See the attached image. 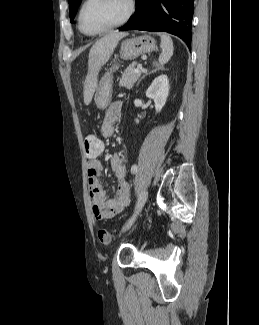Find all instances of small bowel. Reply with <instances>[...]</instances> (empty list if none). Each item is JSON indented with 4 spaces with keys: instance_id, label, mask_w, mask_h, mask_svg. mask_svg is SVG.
<instances>
[{
    "instance_id": "c3829d8e",
    "label": "small bowel",
    "mask_w": 259,
    "mask_h": 325,
    "mask_svg": "<svg viewBox=\"0 0 259 325\" xmlns=\"http://www.w3.org/2000/svg\"><path fill=\"white\" fill-rule=\"evenodd\" d=\"M122 105L121 101H114L105 112L101 125V135L103 137L108 138L114 134L115 123L120 119ZM103 151L104 148L103 150H96L94 153H86L88 159L87 182L89 198L92 214L97 220L110 219L120 214L130 203V186L126 178V162L122 153H114L110 158L111 168L117 180L115 197H108L106 191L100 185L98 176L102 170V163L99 157Z\"/></svg>"
}]
</instances>
